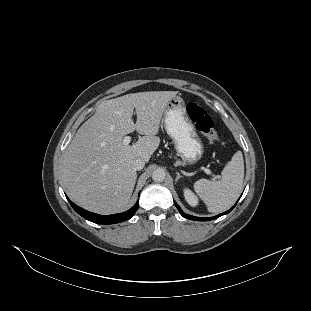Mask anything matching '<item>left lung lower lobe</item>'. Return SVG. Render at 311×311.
<instances>
[{
  "instance_id": "obj_1",
  "label": "left lung lower lobe",
  "mask_w": 311,
  "mask_h": 311,
  "mask_svg": "<svg viewBox=\"0 0 311 311\" xmlns=\"http://www.w3.org/2000/svg\"><path fill=\"white\" fill-rule=\"evenodd\" d=\"M175 205H176L177 209L179 210V212L181 213V215H182L183 217H185V218H187V219H190V220H196V221H207V220L216 219V218H218V217H220V216H222V215H224V214L229 213V212L236 206V204H235L230 210H228V211H226V212H224V213H221V214H219V215H217V216H214V217H210V218H199V217H194V216L185 214V213L180 209V207L176 204V202H175Z\"/></svg>"
}]
</instances>
